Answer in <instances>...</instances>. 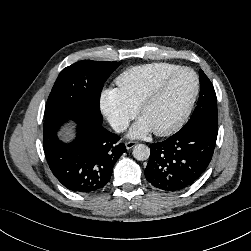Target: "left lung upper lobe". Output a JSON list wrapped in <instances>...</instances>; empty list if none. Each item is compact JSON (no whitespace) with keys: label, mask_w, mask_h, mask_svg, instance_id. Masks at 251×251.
Segmentation results:
<instances>
[{"label":"left lung upper lobe","mask_w":251,"mask_h":251,"mask_svg":"<svg viewBox=\"0 0 251 251\" xmlns=\"http://www.w3.org/2000/svg\"><path fill=\"white\" fill-rule=\"evenodd\" d=\"M199 76V100L190 120L183 128H187L198 123H209L211 125L218 126L217 99L215 90L211 81L202 70L199 71Z\"/></svg>","instance_id":"5c2ea615"}]
</instances>
